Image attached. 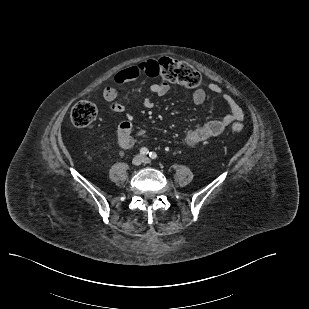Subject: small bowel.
I'll list each match as a JSON object with an SVG mask.
<instances>
[{
  "label": "small bowel",
  "instance_id": "c3829d8e",
  "mask_svg": "<svg viewBox=\"0 0 309 309\" xmlns=\"http://www.w3.org/2000/svg\"><path fill=\"white\" fill-rule=\"evenodd\" d=\"M142 76H148L155 78L158 76L157 70L153 65H150V61L141 62L130 67H126L118 71L114 78V84L122 85L131 81H134ZM208 90L211 93L222 97L224 102L229 107V114L221 119L210 120L199 126L190 128L186 131L185 140L186 143L194 147L205 140L214 138L220 135L230 124L240 122L244 118V113L240 105L222 88L216 83H210ZM169 91V85L166 82L155 83L150 86L149 94L143 99V105L146 108H152L154 102L152 98L154 96H165ZM103 98L110 103V107L114 112H123L125 105L117 101V89L115 86H107L103 90ZM190 98L195 105H201L206 100V91L203 87H196L191 93ZM117 137L119 145L123 149H130L135 142L133 135V127L130 120L123 121L117 128ZM136 137H145L144 131H138Z\"/></svg>",
  "mask_w": 309,
  "mask_h": 309
}]
</instances>
